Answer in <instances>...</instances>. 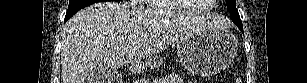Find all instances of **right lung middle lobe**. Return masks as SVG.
<instances>
[{"mask_svg":"<svg viewBox=\"0 0 307 83\" xmlns=\"http://www.w3.org/2000/svg\"><path fill=\"white\" fill-rule=\"evenodd\" d=\"M104 1L106 0H70L65 17H71L80 9L87 7L93 3L104 2Z\"/></svg>","mask_w":307,"mask_h":83,"instance_id":"right-lung-middle-lobe-1","label":"right lung middle lobe"}]
</instances>
